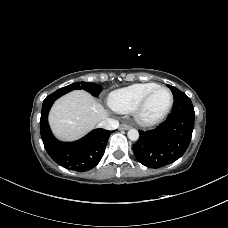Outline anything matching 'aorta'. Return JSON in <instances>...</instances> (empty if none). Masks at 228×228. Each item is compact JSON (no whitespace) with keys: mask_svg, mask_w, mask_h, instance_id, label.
Instances as JSON below:
<instances>
[{"mask_svg":"<svg viewBox=\"0 0 228 228\" xmlns=\"http://www.w3.org/2000/svg\"><path fill=\"white\" fill-rule=\"evenodd\" d=\"M127 135L131 141H137L139 139V132L136 129H130Z\"/></svg>","mask_w":228,"mask_h":228,"instance_id":"1","label":"aorta"}]
</instances>
